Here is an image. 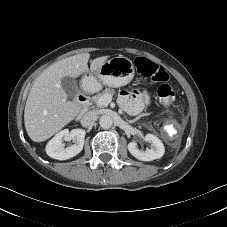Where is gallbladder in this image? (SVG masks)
Wrapping results in <instances>:
<instances>
[{"instance_id":"obj_1","label":"gallbladder","mask_w":227,"mask_h":227,"mask_svg":"<svg viewBox=\"0 0 227 227\" xmlns=\"http://www.w3.org/2000/svg\"><path fill=\"white\" fill-rule=\"evenodd\" d=\"M61 86L68 97H75L80 92L77 81L69 76H65L62 78Z\"/></svg>"}]
</instances>
